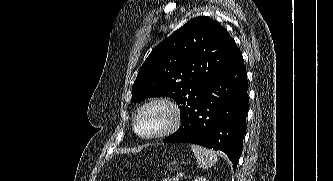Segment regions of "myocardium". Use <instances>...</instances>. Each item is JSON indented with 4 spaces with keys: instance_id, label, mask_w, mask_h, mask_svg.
<instances>
[{
    "instance_id": "f54148a6",
    "label": "myocardium",
    "mask_w": 333,
    "mask_h": 181,
    "mask_svg": "<svg viewBox=\"0 0 333 181\" xmlns=\"http://www.w3.org/2000/svg\"><path fill=\"white\" fill-rule=\"evenodd\" d=\"M153 106H161L163 107L169 115V120L167 125L160 131L150 134V135H143L140 134L139 131L137 130V121L140 117V115L148 108L153 107ZM181 123V109L179 105L171 98L167 97H155L152 98L145 103H143L139 109L136 111L133 122H132V128L134 133L145 140H152V139H159L163 138L174 131L178 129Z\"/></svg>"
}]
</instances>
